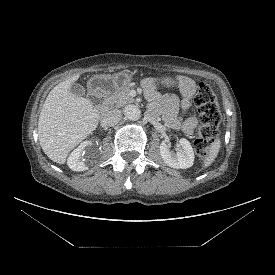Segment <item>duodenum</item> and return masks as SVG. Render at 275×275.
Instances as JSON below:
<instances>
[{"instance_id": "1", "label": "duodenum", "mask_w": 275, "mask_h": 275, "mask_svg": "<svg viewBox=\"0 0 275 275\" xmlns=\"http://www.w3.org/2000/svg\"><path fill=\"white\" fill-rule=\"evenodd\" d=\"M94 95L99 100V104H98L99 112L101 114H104L109 109V105H108V102L106 100L104 93L100 90H95Z\"/></svg>"}]
</instances>
